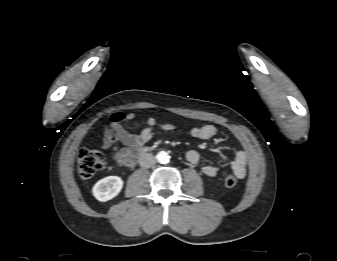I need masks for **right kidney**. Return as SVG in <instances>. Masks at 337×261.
Instances as JSON below:
<instances>
[{
    "instance_id": "right-kidney-1",
    "label": "right kidney",
    "mask_w": 337,
    "mask_h": 261,
    "mask_svg": "<svg viewBox=\"0 0 337 261\" xmlns=\"http://www.w3.org/2000/svg\"><path fill=\"white\" fill-rule=\"evenodd\" d=\"M123 187V181L118 176H108L99 180L92 189L94 197L105 202L116 197Z\"/></svg>"
}]
</instances>
